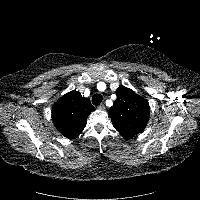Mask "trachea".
Here are the masks:
<instances>
[{"label":"trachea","instance_id":"3493384b","mask_svg":"<svg viewBox=\"0 0 200 200\" xmlns=\"http://www.w3.org/2000/svg\"><path fill=\"white\" fill-rule=\"evenodd\" d=\"M102 100H103V97L101 94H94L92 96V103L95 106H98L102 102Z\"/></svg>","mask_w":200,"mask_h":200}]
</instances>
